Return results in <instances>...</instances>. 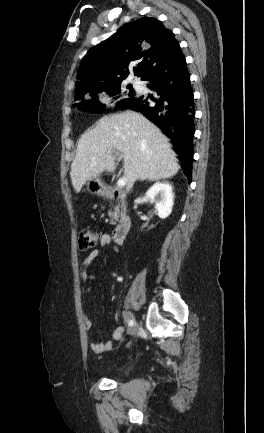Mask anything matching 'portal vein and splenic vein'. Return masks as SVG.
<instances>
[{
  "instance_id": "portal-vein-and-splenic-vein-1",
  "label": "portal vein and splenic vein",
  "mask_w": 264,
  "mask_h": 433,
  "mask_svg": "<svg viewBox=\"0 0 264 433\" xmlns=\"http://www.w3.org/2000/svg\"><path fill=\"white\" fill-rule=\"evenodd\" d=\"M108 153L112 154V153H113V150H108ZM116 155H119V154L116 153ZM119 159H121V156H119ZM125 185H126V179H125L124 177H123V178H120V179L118 180V182H117V186H118L119 188H124Z\"/></svg>"
}]
</instances>
